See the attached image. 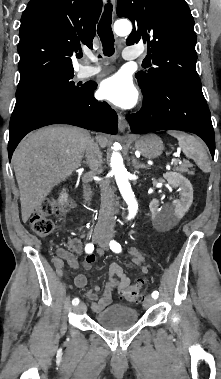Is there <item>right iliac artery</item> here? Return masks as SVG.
<instances>
[{"label": "right iliac artery", "mask_w": 221, "mask_h": 379, "mask_svg": "<svg viewBox=\"0 0 221 379\" xmlns=\"http://www.w3.org/2000/svg\"><path fill=\"white\" fill-rule=\"evenodd\" d=\"M93 250H94V245L92 243L86 244V246H85V252L86 253L90 254V253L93 252ZM72 304L73 305H78L79 304V299L78 298H74L72 300Z\"/></svg>", "instance_id": "1"}]
</instances>
